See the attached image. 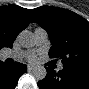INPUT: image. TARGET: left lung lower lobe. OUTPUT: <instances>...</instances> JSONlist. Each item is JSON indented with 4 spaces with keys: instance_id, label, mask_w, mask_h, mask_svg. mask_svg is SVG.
Segmentation results:
<instances>
[{
    "instance_id": "left-lung-lower-lobe-1",
    "label": "left lung lower lobe",
    "mask_w": 89,
    "mask_h": 89,
    "mask_svg": "<svg viewBox=\"0 0 89 89\" xmlns=\"http://www.w3.org/2000/svg\"><path fill=\"white\" fill-rule=\"evenodd\" d=\"M46 77L38 82L40 89H89V70L63 68L55 72L46 68Z\"/></svg>"
}]
</instances>
